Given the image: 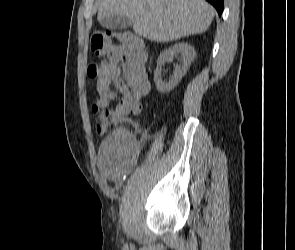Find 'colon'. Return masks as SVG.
Wrapping results in <instances>:
<instances>
[{
  "mask_svg": "<svg viewBox=\"0 0 295 250\" xmlns=\"http://www.w3.org/2000/svg\"><path fill=\"white\" fill-rule=\"evenodd\" d=\"M114 39H118L133 54L145 52L144 41L141 37L127 32L113 31H95L91 37V49L95 56L103 58L99 64L90 63L87 67V75L95 78L106 70L108 57L114 48ZM97 113V130L99 133L105 132L109 127L121 124L127 119L129 114L139 112L138 108L120 107L116 109H99L96 105L93 107Z\"/></svg>",
  "mask_w": 295,
  "mask_h": 250,
  "instance_id": "obj_1",
  "label": "colon"
}]
</instances>
